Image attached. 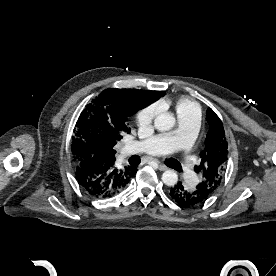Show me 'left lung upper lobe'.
Segmentation results:
<instances>
[{
	"label": "left lung upper lobe",
	"mask_w": 276,
	"mask_h": 276,
	"mask_svg": "<svg viewBox=\"0 0 276 276\" xmlns=\"http://www.w3.org/2000/svg\"><path fill=\"white\" fill-rule=\"evenodd\" d=\"M207 121L210 130L207 133L205 148L200 153L201 164L196 166L195 170L202 175L198 187L207 188L211 195L222 181L228 157V144L223 124L211 108L207 110Z\"/></svg>",
	"instance_id": "1"
}]
</instances>
